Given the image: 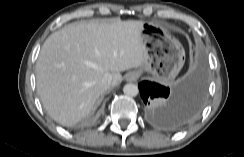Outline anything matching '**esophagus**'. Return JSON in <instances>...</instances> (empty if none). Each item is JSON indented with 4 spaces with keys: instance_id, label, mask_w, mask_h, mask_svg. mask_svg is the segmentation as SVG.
Wrapping results in <instances>:
<instances>
[{
    "instance_id": "1",
    "label": "esophagus",
    "mask_w": 244,
    "mask_h": 157,
    "mask_svg": "<svg viewBox=\"0 0 244 157\" xmlns=\"http://www.w3.org/2000/svg\"><path fill=\"white\" fill-rule=\"evenodd\" d=\"M140 74L138 72H130L126 75L125 79L129 82H134L139 78Z\"/></svg>"
}]
</instances>
